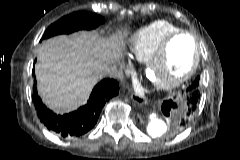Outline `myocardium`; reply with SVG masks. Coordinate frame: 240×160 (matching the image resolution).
<instances>
[{"label": "myocardium", "mask_w": 240, "mask_h": 160, "mask_svg": "<svg viewBox=\"0 0 240 160\" xmlns=\"http://www.w3.org/2000/svg\"><path fill=\"white\" fill-rule=\"evenodd\" d=\"M180 36H187V37L191 38L193 45H194V57H193V61L190 65V67L184 73H182L178 76L163 80V81H155V80L151 79L150 71L160 61H162V59L164 58V56L167 52L169 44L174 39H176ZM200 59H201V46H200V43H199L197 37L189 31L179 30V31H176V32L170 34L169 36H167L162 41V43L159 45V47L157 48L155 53L147 61H145L144 74L156 88L161 89V90L173 89V88L181 85L182 83L186 82L188 79H190L194 75V73L196 72V70L199 66Z\"/></svg>", "instance_id": "obj_1"}]
</instances>
